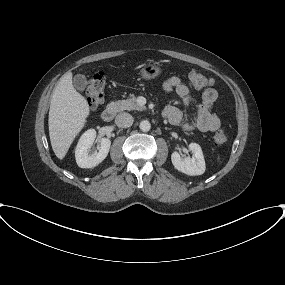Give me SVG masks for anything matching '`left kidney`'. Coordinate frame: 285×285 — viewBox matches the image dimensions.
Here are the masks:
<instances>
[{
  "mask_svg": "<svg viewBox=\"0 0 285 285\" xmlns=\"http://www.w3.org/2000/svg\"><path fill=\"white\" fill-rule=\"evenodd\" d=\"M192 152V157L181 158L178 152H174L171 155V161L173 166L180 172L189 176L202 175L205 172V160L202 149L197 143H190L188 146Z\"/></svg>",
  "mask_w": 285,
  "mask_h": 285,
  "instance_id": "1",
  "label": "left kidney"
}]
</instances>
